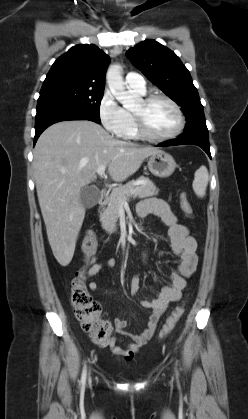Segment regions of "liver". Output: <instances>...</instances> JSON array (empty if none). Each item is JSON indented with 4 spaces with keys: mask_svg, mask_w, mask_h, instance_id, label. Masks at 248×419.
Returning <instances> with one entry per match:
<instances>
[{
    "mask_svg": "<svg viewBox=\"0 0 248 419\" xmlns=\"http://www.w3.org/2000/svg\"><path fill=\"white\" fill-rule=\"evenodd\" d=\"M158 148L113 138L99 124L71 120L53 124L34 148V178L48 241L56 260L67 266L85 217L81 188L97 178L101 165L122 182Z\"/></svg>",
    "mask_w": 248,
    "mask_h": 419,
    "instance_id": "6515ba94",
    "label": "liver"
}]
</instances>
